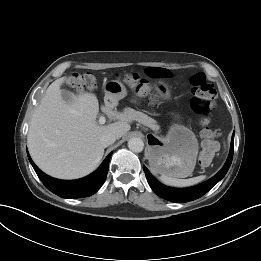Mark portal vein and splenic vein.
Listing matches in <instances>:
<instances>
[{
    "label": "portal vein and splenic vein",
    "instance_id": "1",
    "mask_svg": "<svg viewBox=\"0 0 261 261\" xmlns=\"http://www.w3.org/2000/svg\"><path fill=\"white\" fill-rule=\"evenodd\" d=\"M105 122H106V119H105V117L104 116H101L100 118H99V124H105Z\"/></svg>",
    "mask_w": 261,
    "mask_h": 261
}]
</instances>
